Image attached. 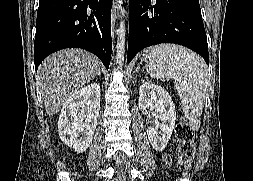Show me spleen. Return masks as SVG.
<instances>
[{
	"label": "spleen",
	"instance_id": "obj_1",
	"mask_svg": "<svg viewBox=\"0 0 253 181\" xmlns=\"http://www.w3.org/2000/svg\"><path fill=\"white\" fill-rule=\"evenodd\" d=\"M147 72L161 81L174 80L186 118L201 116L208 81L205 61L193 51L175 44H160L147 50Z\"/></svg>",
	"mask_w": 253,
	"mask_h": 181
}]
</instances>
